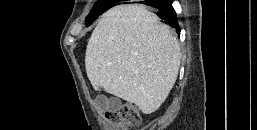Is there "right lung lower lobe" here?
I'll use <instances>...</instances> for the list:
<instances>
[{
  "label": "right lung lower lobe",
  "instance_id": "right-lung-lower-lobe-1",
  "mask_svg": "<svg viewBox=\"0 0 257 130\" xmlns=\"http://www.w3.org/2000/svg\"><path fill=\"white\" fill-rule=\"evenodd\" d=\"M143 4H146L158 9L159 11L158 16L163 20V22L174 27L176 30H178V32H180V27L177 22L176 13L169 0L148 1V2H144Z\"/></svg>",
  "mask_w": 257,
  "mask_h": 130
}]
</instances>
